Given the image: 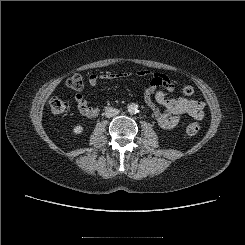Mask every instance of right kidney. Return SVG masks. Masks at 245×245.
I'll return each instance as SVG.
<instances>
[{"mask_svg":"<svg viewBox=\"0 0 245 245\" xmlns=\"http://www.w3.org/2000/svg\"><path fill=\"white\" fill-rule=\"evenodd\" d=\"M83 127L81 126V125H77V126H75L74 128H73V133L75 134V135H79V134H81L82 132H83Z\"/></svg>","mask_w":245,"mask_h":245,"instance_id":"right-kidney-1","label":"right kidney"}]
</instances>
